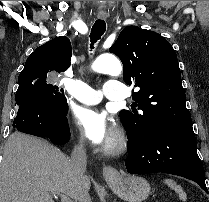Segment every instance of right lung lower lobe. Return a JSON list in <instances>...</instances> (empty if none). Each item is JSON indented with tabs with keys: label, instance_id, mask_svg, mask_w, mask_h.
<instances>
[{
	"label": "right lung lower lobe",
	"instance_id": "obj_1",
	"mask_svg": "<svg viewBox=\"0 0 209 202\" xmlns=\"http://www.w3.org/2000/svg\"><path fill=\"white\" fill-rule=\"evenodd\" d=\"M15 100L19 109L13 127L17 130L38 137H48L55 144H65L69 140L67 113L57 112L39 103L24 88L18 87Z\"/></svg>",
	"mask_w": 209,
	"mask_h": 202
}]
</instances>
